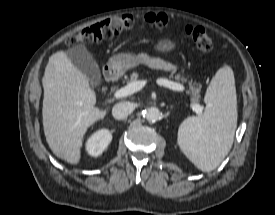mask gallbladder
I'll list each match as a JSON object with an SVG mask.
<instances>
[{"instance_id": "gallbladder-1", "label": "gallbladder", "mask_w": 275, "mask_h": 215, "mask_svg": "<svg viewBox=\"0 0 275 215\" xmlns=\"http://www.w3.org/2000/svg\"><path fill=\"white\" fill-rule=\"evenodd\" d=\"M67 57L72 64L84 73L92 86L101 84L100 69L90 54V52L83 46H75L66 51Z\"/></svg>"}]
</instances>
